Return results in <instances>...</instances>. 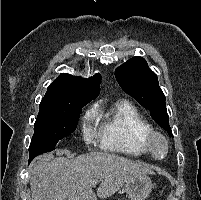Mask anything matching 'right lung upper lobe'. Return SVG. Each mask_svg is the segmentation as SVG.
Wrapping results in <instances>:
<instances>
[{
	"label": "right lung upper lobe",
	"instance_id": "right-lung-upper-lobe-1",
	"mask_svg": "<svg viewBox=\"0 0 201 200\" xmlns=\"http://www.w3.org/2000/svg\"><path fill=\"white\" fill-rule=\"evenodd\" d=\"M100 83V74L84 79L62 73L48 87L44 98L59 101L95 99L100 92Z\"/></svg>",
	"mask_w": 201,
	"mask_h": 200
}]
</instances>
